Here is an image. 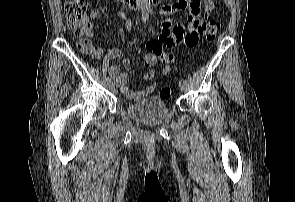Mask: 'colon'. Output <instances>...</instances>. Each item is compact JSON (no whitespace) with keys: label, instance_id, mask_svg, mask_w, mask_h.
<instances>
[{"label":"colon","instance_id":"obj_1","mask_svg":"<svg viewBox=\"0 0 295 202\" xmlns=\"http://www.w3.org/2000/svg\"><path fill=\"white\" fill-rule=\"evenodd\" d=\"M64 12L68 29L80 39V49L89 52L91 50L90 43L84 38L90 30V22L87 18V0H67L64 5ZM217 29L218 22L211 19L207 25L208 39L214 38ZM143 64L146 65V68H156V65H158L157 52H147ZM146 75H155V70H146ZM157 87L158 82H150V85H147V90H157ZM159 96L163 99H169L171 89L163 87Z\"/></svg>","mask_w":295,"mask_h":202}]
</instances>
